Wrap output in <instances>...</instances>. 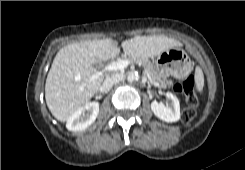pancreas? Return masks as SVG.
I'll use <instances>...</instances> for the list:
<instances>
[{
    "label": "pancreas",
    "instance_id": "pancreas-1",
    "mask_svg": "<svg viewBox=\"0 0 245 170\" xmlns=\"http://www.w3.org/2000/svg\"><path fill=\"white\" fill-rule=\"evenodd\" d=\"M128 60L131 63H136L143 66L145 74L152 82L159 83L161 88H167L173 85V81L162 76L156 69V66L148 58L128 56Z\"/></svg>",
    "mask_w": 245,
    "mask_h": 170
}]
</instances>
